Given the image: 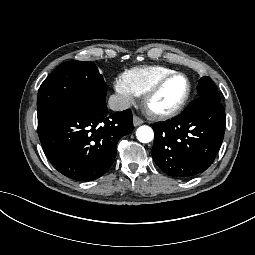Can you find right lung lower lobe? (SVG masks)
I'll use <instances>...</instances> for the list:
<instances>
[{"mask_svg":"<svg viewBox=\"0 0 255 255\" xmlns=\"http://www.w3.org/2000/svg\"><path fill=\"white\" fill-rule=\"evenodd\" d=\"M133 130L130 110L108 114L81 100H68L38 116L44 153L63 175L80 181L101 177L112 165L117 143Z\"/></svg>","mask_w":255,"mask_h":255,"instance_id":"obj_1","label":"right lung lower lobe"}]
</instances>
